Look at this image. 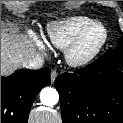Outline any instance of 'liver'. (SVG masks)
<instances>
[{"label":"liver","instance_id":"1","mask_svg":"<svg viewBox=\"0 0 123 123\" xmlns=\"http://www.w3.org/2000/svg\"><path fill=\"white\" fill-rule=\"evenodd\" d=\"M37 54L34 44L15 29H1V75H8Z\"/></svg>","mask_w":123,"mask_h":123}]
</instances>
